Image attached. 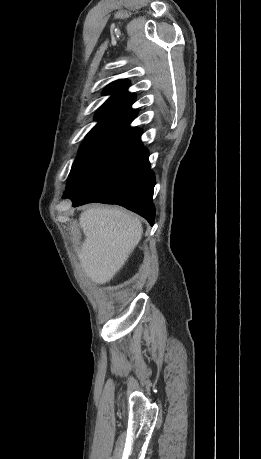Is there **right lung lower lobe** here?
Wrapping results in <instances>:
<instances>
[{"label":"right lung lower lobe","instance_id":"1","mask_svg":"<svg viewBox=\"0 0 261 459\" xmlns=\"http://www.w3.org/2000/svg\"><path fill=\"white\" fill-rule=\"evenodd\" d=\"M148 151L142 145L111 172L100 179L87 194L72 197L73 206L91 202L118 204L143 216L153 225L152 203L155 176L150 169Z\"/></svg>","mask_w":261,"mask_h":459}]
</instances>
